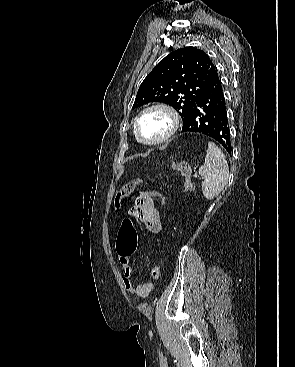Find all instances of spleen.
Wrapping results in <instances>:
<instances>
[{"label":"spleen","instance_id":"1","mask_svg":"<svg viewBox=\"0 0 295 367\" xmlns=\"http://www.w3.org/2000/svg\"><path fill=\"white\" fill-rule=\"evenodd\" d=\"M204 178L202 192L207 200L216 198L224 189L229 178V167L222 150L213 142H208L204 164L199 168Z\"/></svg>","mask_w":295,"mask_h":367}]
</instances>
